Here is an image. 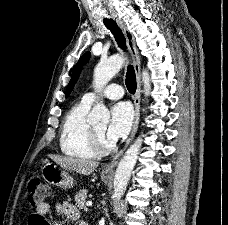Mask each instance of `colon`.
Returning a JSON list of instances; mask_svg holds the SVG:
<instances>
[{"mask_svg":"<svg viewBox=\"0 0 228 225\" xmlns=\"http://www.w3.org/2000/svg\"><path fill=\"white\" fill-rule=\"evenodd\" d=\"M28 204L31 208L43 205L45 197L49 195V188L38 177H34L28 184Z\"/></svg>","mask_w":228,"mask_h":225,"instance_id":"5ec220e1","label":"colon"}]
</instances>
